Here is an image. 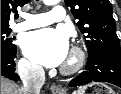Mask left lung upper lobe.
Returning <instances> with one entry per match:
<instances>
[{
  "instance_id": "1",
  "label": "left lung upper lobe",
  "mask_w": 121,
  "mask_h": 94,
  "mask_svg": "<svg viewBox=\"0 0 121 94\" xmlns=\"http://www.w3.org/2000/svg\"><path fill=\"white\" fill-rule=\"evenodd\" d=\"M71 8L78 27L86 33L89 55L100 53L121 54L120 41L116 34V23L109 0H65Z\"/></svg>"
}]
</instances>
